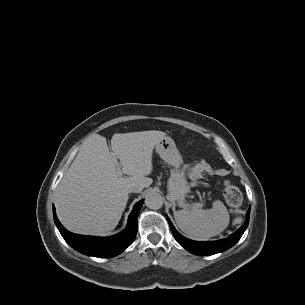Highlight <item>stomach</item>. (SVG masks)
I'll list each match as a JSON object with an SVG mask.
<instances>
[{"label": "stomach", "instance_id": "stomach-1", "mask_svg": "<svg viewBox=\"0 0 305 305\" xmlns=\"http://www.w3.org/2000/svg\"><path fill=\"white\" fill-rule=\"evenodd\" d=\"M156 152L172 167L171 175L168 180V192L172 201L182 204L189 192V186L182 165V156L176 147L174 140L164 137L156 145Z\"/></svg>", "mask_w": 305, "mask_h": 305}]
</instances>
